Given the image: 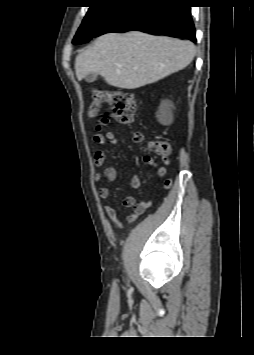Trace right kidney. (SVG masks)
<instances>
[{
    "label": "right kidney",
    "mask_w": 254,
    "mask_h": 355,
    "mask_svg": "<svg viewBox=\"0 0 254 355\" xmlns=\"http://www.w3.org/2000/svg\"><path fill=\"white\" fill-rule=\"evenodd\" d=\"M173 105L169 101H165L160 109V112L158 114V118L160 121H164L166 118H168L171 115V109Z\"/></svg>",
    "instance_id": "ca27d5eb"
}]
</instances>
